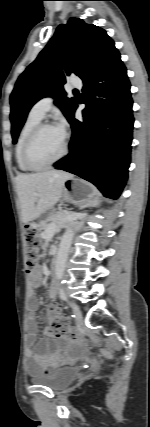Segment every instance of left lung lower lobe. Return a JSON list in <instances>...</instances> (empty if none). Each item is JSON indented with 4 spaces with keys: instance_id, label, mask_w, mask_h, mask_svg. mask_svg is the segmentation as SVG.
Segmentation results:
<instances>
[{
    "instance_id": "0a47b994",
    "label": "left lung lower lobe",
    "mask_w": 150,
    "mask_h": 427,
    "mask_svg": "<svg viewBox=\"0 0 150 427\" xmlns=\"http://www.w3.org/2000/svg\"><path fill=\"white\" fill-rule=\"evenodd\" d=\"M83 83V121L74 118L75 104L68 119L70 152L54 167L117 199L127 180L134 123L130 83L118 50L114 48Z\"/></svg>"
}]
</instances>
